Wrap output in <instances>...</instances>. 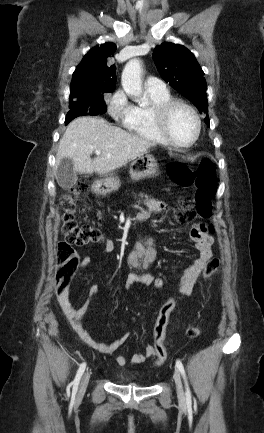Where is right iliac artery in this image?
<instances>
[{
	"label": "right iliac artery",
	"instance_id": "obj_1",
	"mask_svg": "<svg viewBox=\"0 0 264 433\" xmlns=\"http://www.w3.org/2000/svg\"><path fill=\"white\" fill-rule=\"evenodd\" d=\"M85 368H86V363H82V364L80 365L78 371H77V374H76V376H75V379H74L73 382H72V385H73V389H72V397L75 396V394H76V392H77V390H78V385H79L80 379H81V377H82V375H83V373H84V371H85Z\"/></svg>",
	"mask_w": 264,
	"mask_h": 433
}]
</instances>
